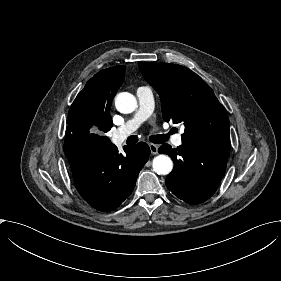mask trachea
Segmentation results:
<instances>
[{
	"instance_id": "1",
	"label": "trachea",
	"mask_w": 281,
	"mask_h": 281,
	"mask_svg": "<svg viewBox=\"0 0 281 281\" xmlns=\"http://www.w3.org/2000/svg\"><path fill=\"white\" fill-rule=\"evenodd\" d=\"M167 139H168V137L166 135H156L151 138V141L153 143L161 144V143L165 142ZM128 141H130L132 144H134V143L138 142V139L136 136H130L128 138Z\"/></svg>"
}]
</instances>
